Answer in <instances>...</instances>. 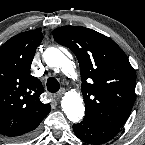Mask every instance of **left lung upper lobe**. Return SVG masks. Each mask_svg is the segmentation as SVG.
Segmentation results:
<instances>
[{
  "label": "left lung upper lobe",
  "mask_w": 145,
  "mask_h": 145,
  "mask_svg": "<svg viewBox=\"0 0 145 145\" xmlns=\"http://www.w3.org/2000/svg\"><path fill=\"white\" fill-rule=\"evenodd\" d=\"M53 37L79 61L85 118L120 129L130 115L136 86L135 71L125 53L109 37L85 27L62 26L53 31Z\"/></svg>",
  "instance_id": "1"
}]
</instances>
